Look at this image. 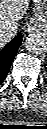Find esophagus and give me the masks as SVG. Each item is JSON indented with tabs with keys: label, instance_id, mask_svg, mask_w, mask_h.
<instances>
[{
	"label": "esophagus",
	"instance_id": "1",
	"mask_svg": "<svg viewBox=\"0 0 47 129\" xmlns=\"http://www.w3.org/2000/svg\"><path fill=\"white\" fill-rule=\"evenodd\" d=\"M32 30H33V27H29V28H28V31H32Z\"/></svg>",
	"mask_w": 47,
	"mask_h": 129
}]
</instances>
